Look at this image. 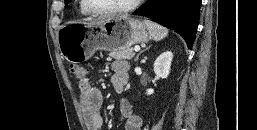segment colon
I'll return each instance as SVG.
<instances>
[{
	"label": "colon",
	"instance_id": "5ec220e1",
	"mask_svg": "<svg viewBox=\"0 0 257 130\" xmlns=\"http://www.w3.org/2000/svg\"><path fill=\"white\" fill-rule=\"evenodd\" d=\"M69 70L71 74L74 75L79 80L85 78L87 75L86 69L78 64H70Z\"/></svg>",
	"mask_w": 257,
	"mask_h": 130
}]
</instances>
